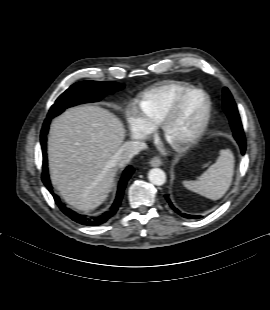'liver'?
I'll return each instance as SVG.
<instances>
[{"label":"liver","instance_id":"obj_1","mask_svg":"<svg viewBox=\"0 0 270 310\" xmlns=\"http://www.w3.org/2000/svg\"><path fill=\"white\" fill-rule=\"evenodd\" d=\"M124 137L122 122L99 106L69 108L53 120L48 137L50 177L66 203L89 211L106 200L118 170L111 160Z\"/></svg>","mask_w":270,"mask_h":310}]
</instances>
